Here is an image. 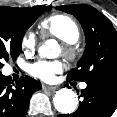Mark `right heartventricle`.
<instances>
[{
	"label": "right heart ventricle",
	"mask_w": 117,
	"mask_h": 117,
	"mask_svg": "<svg viewBox=\"0 0 117 117\" xmlns=\"http://www.w3.org/2000/svg\"><path fill=\"white\" fill-rule=\"evenodd\" d=\"M40 28L45 35L56 37L65 43L73 44L80 37L76 21L65 14H54L43 19Z\"/></svg>",
	"instance_id": "obj_1"
}]
</instances>
